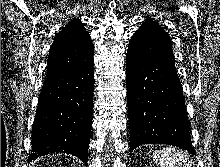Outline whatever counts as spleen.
Returning <instances> with one entry per match:
<instances>
[{
  "instance_id": "obj_1",
  "label": "spleen",
  "mask_w": 220,
  "mask_h": 167,
  "mask_svg": "<svg viewBox=\"0 0 220 167\" xmlns=\"http://www.w3.org/2000/svg\"><path fill=\"white\" fill-rule=\"evenodd\" d=\"M159 167H191L186 153L173 147H167L152 154Z\"/></svg>"
}]
</instances>
